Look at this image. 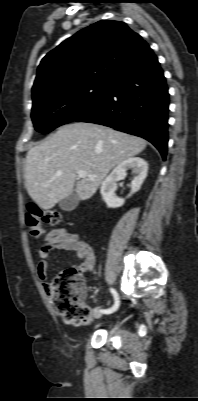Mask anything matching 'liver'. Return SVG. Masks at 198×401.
I'll return each mask as SVG.
<instances>
[{
  "label": "liver",
  "instance_id": "1",
  "mask_svg": "<svg viewBox=\"0 0 198 401\" xmlns=\"http://www.w3.org/2000/svg\"><path fill=\"white\" fill-rule=\"evenodd\" d=\"M147 142L93 123L63 125L32 147L26 156L25 186L43 209H50L75 190L81 200L91 198L116 165L141 153ZM83 170L92 179L79 178Z\"/></svg>",
  "mask_w": 198,
  "mask_h": 401
}]
</instances>
